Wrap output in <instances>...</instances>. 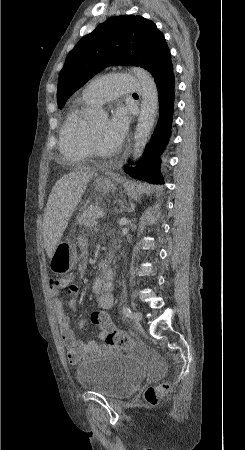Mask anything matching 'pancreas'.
<instances>
[{"label": "pancreas", "instance_id": "pancreas-1", "mask_svg": "<svg viewBox=\"0 0 245 450\" xmlns=\"http://www.w3.org/2000/svg\"><path fill=\"white\" fill-rule=\"evenodd\" d=\"M99 211L100 209L97 206H88L79 217L78 224L84 226L85 228H92L97 224L96 215Z\"/></svg>", "mask_w": 245, "mask_h": 450}]
</instances>
